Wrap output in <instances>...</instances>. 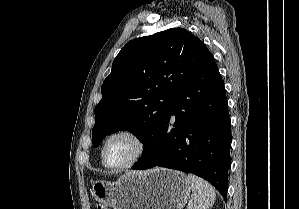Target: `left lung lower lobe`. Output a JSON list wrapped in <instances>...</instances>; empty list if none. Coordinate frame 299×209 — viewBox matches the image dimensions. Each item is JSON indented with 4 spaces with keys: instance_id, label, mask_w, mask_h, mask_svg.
<instances>
[{
    "instance_id": "left-lung-lower-lobe-1",
    "label": "left lung lower lobe",
    "mask_w": 299,
    "mask_h": 209,
    "mask_svg": "<svg viewBox=\"0 0 299 209\" xmlns=\"http://www.w3.org/2000/svg\"><path fill=\"white\" fill-rule=\"evenodd\" d=\"M175 116L170 130L171 116ZM225 87L214 58L171 98L133 169L166 167L196 174L227 198L231 128Z\"/></svg>"
}]
</instances>
